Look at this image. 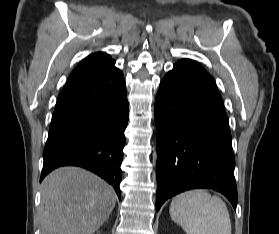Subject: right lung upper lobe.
Returning a JSON list of instances; mask_svg holds the SVG:
<instances>
[{
    "label": "right lung upper lobe",
    "mask_w": 279,
    "mask_h": 234,
    "mask_svg": "<svg viewBox=\"0 0 279 234\" xmlns=\"http://www.w3.org/2000/svg\"><path fill=\"white\" fill-rule=\"evenodd\" d=\"M115 63L110 55L104 52H97L86 57L71 73L65 85L96 76L108 69Z\"/></svg>",
    "instance_id": "obj_1"
}]
</instances>
